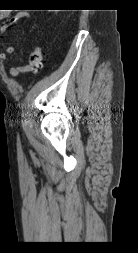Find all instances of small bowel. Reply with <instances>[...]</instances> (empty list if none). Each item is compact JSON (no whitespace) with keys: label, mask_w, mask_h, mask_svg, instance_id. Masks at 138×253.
<instances>
[{"label":"small bowel","mask_w":138,"mask_h":253,"mask_svg":"<svg viewBox=\"0 0 138 253\" xmlns=\"http://www.w3.org/2000/svg\"><path fill=\"white\" fill-rule=\"evenodd\" d=\"M28 17V14L26 12H19L16 15H14L9 22L5 23L4 25H2L0 27V36H7L10 33L11 27L14 23H16L17 21L24 19ZM14 52V46L9 44L5 47V52L0 54V60H2L3 62L7 61V55L11 54ZM23 71V67L22 66H18V67H12L8 70L9 74L12 77H17L18 74L20 72Z\"/></svg>","instance_id":"small-bowel-1"}]
</instances>
